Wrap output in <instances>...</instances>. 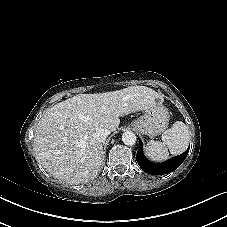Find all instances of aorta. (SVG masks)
<instances>
[{
	"label": "aorta",
	"mask_w": 227,
	"mask_h": 227,
	"mask_svg": "<svg viewBox=\"0 0 227 227\" xmlns=\"http://www.w3.org/2000/svg\"><path fill=\"white\" fill-rule=\"evenodd\" d=\"M122 141L125 145L132 146L136 143L137 137L133 132L126 131L122 135Z\"/></svg>",
	"instance_id": "762f6f07"
}]
</instances>
